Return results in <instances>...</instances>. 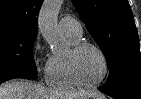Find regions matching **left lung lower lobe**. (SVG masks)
Segmentation results:
<instances>
[{
    "instance_id": "0a47b994",
    "label": "left lung lower lobe",
    "mask_w": 141,
    "mask_h": 99,
    "mask_svg": "<svg viewBox=\"0 0 141 99\" xmlns=\"http://www.w3.org/2000/svg\"><path fill=\"white\" fill-rule=\"evenodd\" d=\"M98 89L115 99H141V80H124Z\"/></svg>"
}]
</instances>
